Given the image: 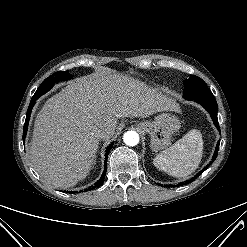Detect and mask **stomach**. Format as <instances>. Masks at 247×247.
I'll return each instance as SVG.
<instances>
[{
	"label": "stomach",
	"mask_w": 247,
	"mask_h": 247,
	"mask_svg": "<svg viewBox=\"0 0 247 247\" xmlns=\"http://www.w3.org/2000/svg\"><path fill=\"white\" fill-rule=\"evenodd\" d=\"M138 127L150 135V148L157 152L171 145L172 136L179 131L181 125L176 116L161 113L153 121L140 122Z\"/></svg>",
	"instance_id": "obj_1"
}]
</instances>
